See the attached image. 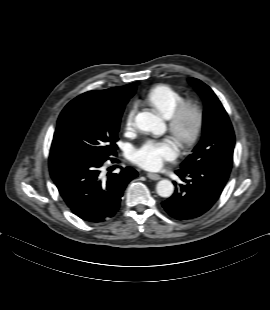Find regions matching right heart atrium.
Returning <instances> with one entry per match:
<instances>
[{
	"label": "right heart atrium",
	"mask_w": 270,
	"mask_h": 310,
	"mask_svg": "<svg viewBox=\"0 0 270 310\" xmlns=\"http://www.w3.org/2000/svg\"><path fill=\"white\" fill-rule=\"evenodd\" d=\"M136 110H137L136 104L132 105L130 109L128 110L127 115L125 117L124 127L128 131L134 128Z\"/></svg>",
	"instance_id": "right-heart-atrium-1"
}]
</instances>
